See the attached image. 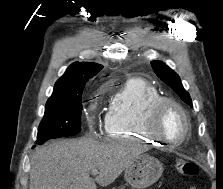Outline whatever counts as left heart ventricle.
<instances>
[{
    "label": "left heart ventricle",
    "instance_id": "1",
    "mask_svg": "<svg viewBox=\"0 0 223 189\" xmlns=\"http://www.w3.org/2000/svg\"><path fill=\"white\" fill-rule=\"evenodd\" d=\"M158 128L165 139L176 142L184 135V119L175 107L166 106L159 118Z\"/></svg>",
    "mask_w": 223,
    "mask_h": 189
}]
</instances>
